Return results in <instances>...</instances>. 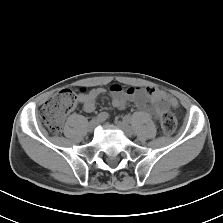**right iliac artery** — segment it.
<instances>
[{
  "instance_id": "82829eb1",
  "label": "right iliac artery",
  "mask_w": 223,
  "mask_h": 223,
  "mask_svg": "<svg viewBox=\"0 0 223 223\" xmlns=\"http://www.w3.org/2000/svg\"><path fill=\"white\" fill-rule=\"evenodd\" d=\"M108 113L106 112H102L100 113L99 115H97L94 120H97V121H105L107 118H108Z\"/></svg>"
}]
</instances>
